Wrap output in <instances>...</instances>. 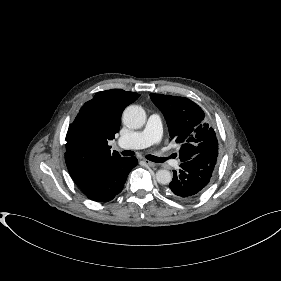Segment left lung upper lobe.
Instances as JSON below:
<instances>
[{"label":"left lung upper lobe","instance_id":"obj_1","mask_svg":"<svg viewBox=\"0 0 281 281\" xmlns=\"http://www.w3.org/2000/svg\"><path fill=\"white\" fill-rule=\"evenodd\" d=\"M150 98L164 114L170 138L181 145V162L189 161L201 153L218 152L216 134L196 103L184 97L153 93Z\"/></svg>","mask_w":281,"mask_h":281}]
</instances>
